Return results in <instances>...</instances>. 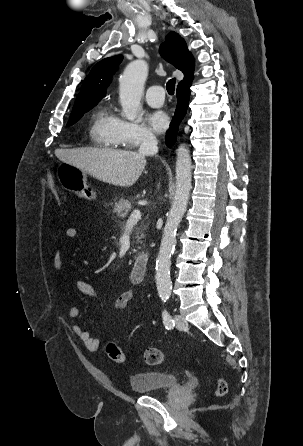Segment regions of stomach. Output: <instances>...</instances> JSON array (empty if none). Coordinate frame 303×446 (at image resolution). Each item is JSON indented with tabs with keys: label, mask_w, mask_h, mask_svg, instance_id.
Listing matches in <instances>:
<instances>
[{
	"label": "stomach",
	"mask_w": 303,
	"mask_h": 446,
	"mask_svg": "<svg viewBox=\"0 0 303 446\" xmlns=\"http://www.w3.org/2000/svg\"><path fill=\"white\" fill-rule=\"evenodd\" d=\"M57 178L64 189L74 192L79 198H96L95 190L87 184V173L78 167L66 162L61 163L57 168Z\"/></svg>",
	"instance_id": "0dacf381"
}]
</instances>
